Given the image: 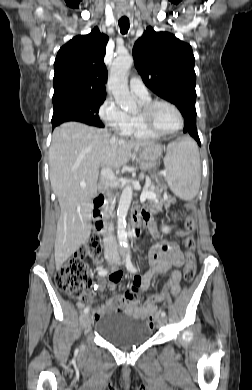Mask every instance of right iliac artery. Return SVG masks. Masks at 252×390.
<instances>
[{"label":"right iliac artery","mask_w":252,"mask_h":390,"mask_svg":"<svg viewBox=\"0 0 252 390\" xmlns=\"http://www.w3.org/2000/svg\"><path fill=\"white\" fill-rule=\"evenodd\" d=\"M122 246V245H121ZM107 273H108V270L107 269H100L99 270V272H98V274L100 275V276H105V275H107ZM89 312V308L88 307H86L84 310H83V314H87Z\"/></svg>","instance_id":"right-iliac-artery-1"}]
</instances>
